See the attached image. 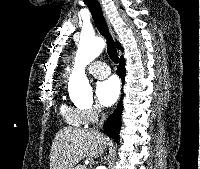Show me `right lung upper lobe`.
<instances>
[{"instance_id":"1","label":"right lung upper lobe","mask_w":200,"mask_h":169,"mask_svg":"<svg viewBox=\"0 0 200 169\" xmlns=\"http://www.w3.org/2000/svg\"><path fill=\"white\" fill-rule=\"evenodd\" d=\"M116 46H117L118 49L123 50V48L121 47L119 42L116 43Z\"/></svg>"}]
</instances>
